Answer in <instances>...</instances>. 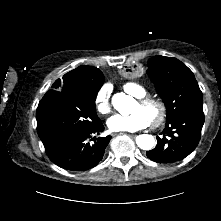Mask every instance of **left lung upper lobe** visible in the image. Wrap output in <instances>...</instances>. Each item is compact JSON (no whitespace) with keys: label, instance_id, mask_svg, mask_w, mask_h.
<instances>
[{"label":"left lung upper lobe","instance_id":"left-lung-upper-lobe-1","mask_svg":"<svg viewBox=\"0 0 221 221\" xmlns=\"http://www.w3.org/2000/svg\"><path fill=\"white\" fill-rule=\"evenodd\" d=\"M148 67L147 74L166 105L167 122L202 108V92L193 72L184 63L173 57L155 56L149 59ZM175 150V144H170L163 147L162 154L167 159Z\"/></svg>","mask_w":221,"mask_h":221}]
</instances>
